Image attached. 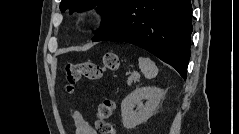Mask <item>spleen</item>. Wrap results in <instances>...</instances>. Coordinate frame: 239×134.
Listing matches in <instances>:
<instances>
[{
	"mask_svg": "<svg viewBox=\"0 0 239 134\" xmlns=\"http://www.w3.org/2000/svg\"><path fill=\"white\" fill-rule=\"evenodd\" d=\"M138 61L145 78L152 79L157 76L158 68L150 58L140 57Z\"/></svg>",
	"mask_w": 239,
	"mask_h": 134,
	"instance_id": "obj_1",
	"label": "spleen"
}]
</instances>
